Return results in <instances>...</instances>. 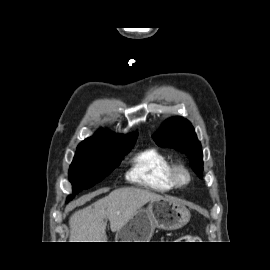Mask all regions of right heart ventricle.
Instances as JSON below:
<instances>
[{"mask_svg":"<svg viewBox=\"0 0 270 270\" xmlns=\"http://www.w3.org/2000/svg\"><path fill=\"white\" fill-rule=\"evenodd\" d=\"M171 160L156 148H148L137 153L131 160L127 179L139 186L156 192L175 189L170 178Z\"/></svg>","mask_w":270,"mask_h":270,"instance_id":"right-heart-ventricle-1","label":"right heart ventricle"}]
</instances>
